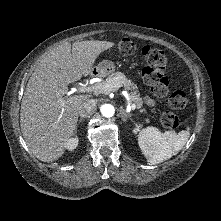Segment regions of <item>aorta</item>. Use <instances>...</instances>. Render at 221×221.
I'll list each match as a JSON object with an SVG mask.
<instances>
[{
  "label": "aorta",
  "instance_id": "762f6f07",
  "mask_svg": "<svg viewBox=\"0 0 221 221\" xmlns=\"http://www.w3.org/2000/svg\"><path fill=\"white\" fill-rule=\"evenodd\" d=\"M115 109L111 104H104L101 106V114L104 117L110 118L114 115Z\"/></svg>",
  "mask_w": 221,
  "mask_h": 221
}]
</instances>
